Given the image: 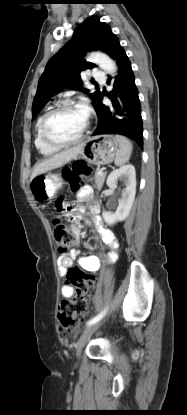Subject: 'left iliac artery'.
I'll list each match as a JSON object with an SVG mask.
<instances>
[{
  "label": "left iliac artery",
  "mask_w": 187,
  "mask_h": 415,
  "mask_svg": "<svg viewBox=\"0 0 187 415\" xmlns=\"http://www.w3.org/2000/svg\"><path fill=\"white\" fill-rule=\"evenodd\" d=\"M106 312H107V308H105L102 312H100V313H99L97 316H95L94 318L90 319V320L87 322V326H90L91 324H94V323H96V322L100 321V320L103 318V316L106 314Z\"/></svg>",
  "instance_id": "left-iliac-artery-1"
}]
</instances>
